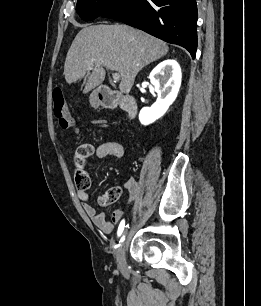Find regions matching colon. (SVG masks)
<instances>
[{
  "label": "colon",
  "instance_id": "obj_1",
  "mask_svg": "<svg viewBox=\"0 0 261 306\" xmlns=\"http://www.w3.org/2000/svg\"><path fill=\"white\" fill-rule=\"evenodd\" d=\"M53 114L59 122L61 128L70 129L73 127V118L69 112L64 95L60 89L53 91ZM93 147L90 144L80 145L74 155L75 167H83L86 160L92 155ZM121 195V189L117 186L109 188L99 197L101 205H110L118 200Z\"/></svg>",
  "mask_w": 261,
  "mask_h": 306
}]
</instances>
